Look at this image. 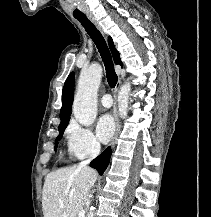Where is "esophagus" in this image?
<instances>
[{"instance_id": "obj_1", "label": "esophagus", "mask_w": 211, "mask_h": 217, "mask_svg": "<svg viewBox=\"0 0 211 217\" xmlns=\"http://www.w3.org/2000/svg\"><path fill=\"white\" fill-rule=\"evenodd\" d=\"M88 19L95 25V27L103 33V30H102V27L101 25L99 24V22L97 21V19L92 15V14H89L87 15ZM120 84H121V80L119 78L118 80V83H117V86L115 88V92H114V99H115V103H114V108H113V112H114V120H115V134H114V137L112 139V142H111V146L113 147L114 144L116 143L117 141V138H118V134H119V129H120V124H119V118H118V110H117V98H118V91H119V87H120Z\"/></svg>"}]
</instances>
